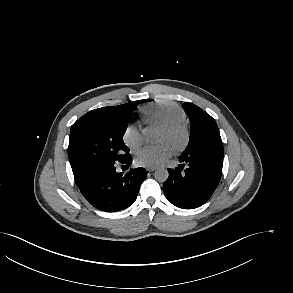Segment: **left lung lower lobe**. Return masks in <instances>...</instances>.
<instances>
[{
    "label": "left lung lower lobe",
    "instance_id": "obj_1",
    "mask_svg": "<svg viewBox=\"0 0 293 293\" xmlns=\"http://www.w3.org/2000/svg\"><path fill=\"white\" fill-rule=\"evenodd\" d=\"M186 163L168 169L169 177L163 185L165 197L182 209H194L203 205L217 188L223 166V157L208 152H194L180 156Z\"/></svg>",
    "mask_w": 293,
    "mask_h": 293
}]
</instances>
